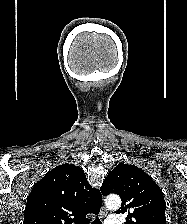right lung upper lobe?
Segmentation results:
<instances>
[{"mask_svg": "<svg viewBox=\"0 0 187 224\" xmlns=\"http://www.w3.org/2000/svg\"><path fill=\"white\" fill-rule=\"evenodd\" d=\"M102 196L83 170L62 164L38 181L28 196L23 224H88V213H99Z\"/></svg>", "mask_w": 187, "mask_h": 224, "instance_id": "1", "label": "right lung upper lobe"}]
</instances>
